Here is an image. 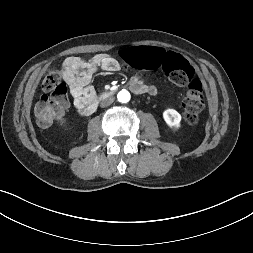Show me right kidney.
I'll return each instance as SVG.
<instances>
[{"mask_svg": "<svg viewBox=\"0 0 253 253\" xmlns=\"http://www.w3.org/2000/svg\"><path fill=\"white\" fill-rule=\"evenodd\" d=\"M64 123H65V120H62V121H61V125H63Z\"/></svg>", "mask_w": 253, "mask_h": 253, "instance_id": "obj_1", "label": "right kidney"}]
</instances>
